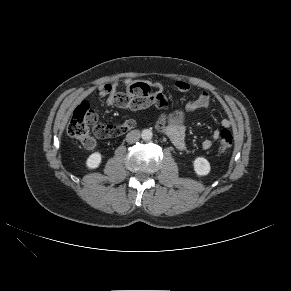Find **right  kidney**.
<instances>
[{
	"mask_svg": "<svg viewBox=\"0 0 291 291\" xmlns=\"http://www.w3.org/2000/svg\"><path fill=\"white\" fill-rule=\"evenodd\" d=\"M102 161V156L99 152L92 153L86 160V166L89 169H96Z\"/></svg>",
	"mask_w": 291,
	"mask_h": 291,
	"instance_id": "right-kidney-1",
	"label": "right kidney"
}]
</instances>
